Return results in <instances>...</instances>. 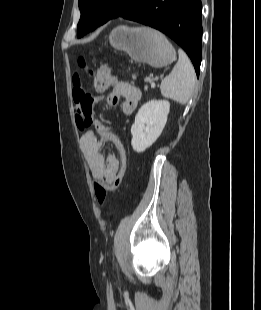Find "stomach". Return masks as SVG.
<instances>
[{"label": "stomach", "instance_id": "1", "mask_svg": "<svg viewBox=\"0 0 261 310\" xmlns=\"http://www.w3.org/2000/svg\"><path fill=\"white\" fill-rule=\"evenodd\" d=\"M109 42L135 62L147 63L154 68L168 66L176 59L175 49L169 41L149 27L118 26L111 31Z\"/></svg>", "mask_w": 261, "mask_h": 310}]
</instances>
